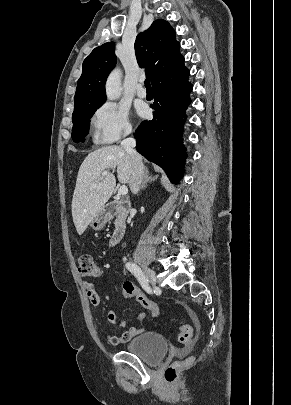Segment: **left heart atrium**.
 Masks as SVG:
<instances>
[{
    "mask_svg": "<svg viewBox=\"0 0 291 405\" xmlns=\"http://www.w3.org/2000/svg\"><path fill=\"white\" fill-rule=\"evenodd\" d=\"M144 112H145L144 110H141V113H142V114H144Z\"/></svg>",
    "mask_w": 291,
    "mask_h": 405,
    "instance_id": "left-heart-atrium-1",
    "label": "left heart atrium"
}]
</instances>
